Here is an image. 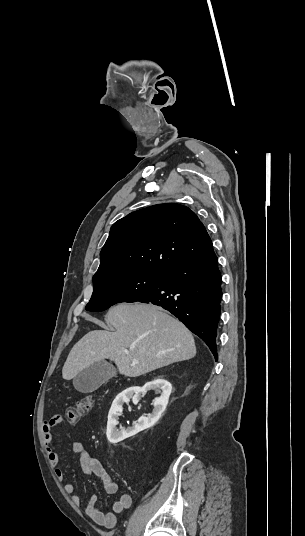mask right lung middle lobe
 I'll return each instance as SVG.
<instances>
[{
    "instance_id": "right-lung-middle-lobe-1",
    "label": "right lung middle lobe",
    "mask_w": 305,
    "mask_h": 536,
    "mask_svg": "<svg viewBox=\"0 0 305 536\" xmlns=\"http://www.w3.org/2000/svg\"><path fill=\"white\" fill-rule=\"evenodd\" d=\"M165 272H130L121 277L93 280V294L87 311L99 312L120 302H136L153 291L165 278Z\"/></svg>"
}]
</instances>
